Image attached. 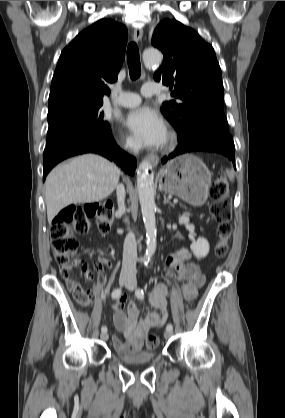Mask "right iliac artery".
I'll return each mask as SVG.
<instances>
[{
	"instance_id": "right-iliac-artery-1",
	"label": "right iliac artery",
	"mask_w": 285,
	"mask_h": 418,
	"mask_svg": "<svg viewBox=\"0 0 285 418\" xmlns=\"http://www.w3.org/2000/svg\"><path fill=\"white\" fill-rule=\"evenodd\" d=\"M121 292H122V289L121 288L114 289L113 292H112V298L113 299L119 298L120 295H121ZM101 332H107V327L106 326H102Z\"/></svg>"
}]
</instances>
